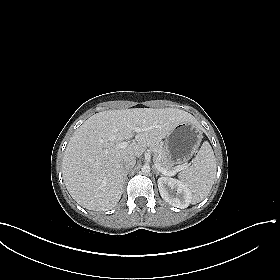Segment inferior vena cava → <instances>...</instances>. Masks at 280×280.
<instances>
[{
    "instance_id": "602c4592",
    "label": "inferior vena cava",
    "mask_w": 280,
    "mask_h": 280,
    "mask_svg": "<svg viewBox=\"0 0 280 280\" xmlns=\"http://www.w3.org/2000/svg\"><path fill=\"white\" fill-rule=\"evenodd\" d=\"M136 164V158L134 156H126L123 159V168L124 171L127 172L128 170L132 169Z\"/></svg>"
}]
</instances>
